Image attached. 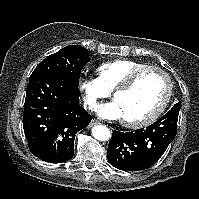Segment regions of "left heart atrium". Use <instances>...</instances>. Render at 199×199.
I'll list each match as a JSON object with an SVG mask.
<instances>
[{
    "mask_svg": "<svg viewBox=\"0 0 199 199\" xmlns=\"http://www.w3.org/2000/svg\"><path fill=\"white\" fill-rule=\"evenodd\" d=\"M97 114L105 119L117 120L122 118V112L116 101L99 105L96 108Z\"/></svg>",
    "mask_w": 199,
    "mask_h": 199,
    "instance_id": "left-heart-atrium-1",
    "label": "left heart atrium"
}]
</instances>
